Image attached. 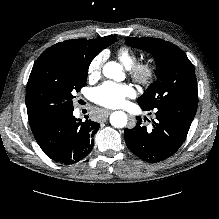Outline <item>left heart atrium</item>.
Instances as JSON below:
<instances>
[{"label": "left heart atrium", "instance_id": "39dd6f15", "mask_svg": "<svg viewBox=\"0 0 219 219\" xmlns=\"http://www.w3.org/2000/svg\"><path fill=\"white\" fill-rule=\"evenodd\" d=\"M135 95L134 89L127 84H117L105 82L95 88L93 97L94 101L106 108L121 107L126 103L127 98Z\"/></svg>", "mask_w": 219, "mask_h": 219}]
</instances>
